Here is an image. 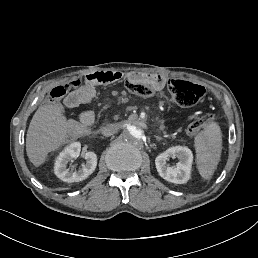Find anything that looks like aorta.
Returning a JSON list of instances; mask_svg holds the SVG:
<instances>
[{
	"mask_svg": "<svg viewBox=\"0 0 258 258\" xmlns=\"http://www.w3.org/2000/svg\"><path fill=\"white\" fill-rule=\"evenodd\" d=\"M143 130L135 125H128L125 131V137L128 141L137 142L143 138Z\"/></svg>",
	"mask_w": 258,
	"mask_h": 258,
	"instance_id": "aorta-1",
	"label": "aorta"
}]
</instances>
